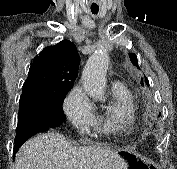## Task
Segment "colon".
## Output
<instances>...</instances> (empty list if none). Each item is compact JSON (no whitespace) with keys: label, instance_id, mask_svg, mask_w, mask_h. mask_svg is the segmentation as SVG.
<instances>
[{"label":"colon","instance_id":"5ec220e1","mask_svg":"<svg viewBox=\"0 0 177 169\" xmlns=\"http://www.w3.org/2000/svg\"><path fill=\"white\" fill-rule=\"evenodd\" d=\"M148 169H156L155 167H153V166H151V167H149Z\"/></svg>","mask_w":177,"mask_h":169}]
</instances>
